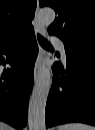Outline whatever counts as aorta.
<instances>
[{"instance_id":"obj_1","label":"aorta","mask_w":95,"mask_h":130,"mask_svg":"<svg viewBox=\"0 0 95 130\" xmlns=\"http://www.w3.org/2000/svg\"><path fill=\"white\" fill-rule=\"evenodd\" d=\"M37 18L45 27L50 26L55 19V12L51 8H42L37 13ZM51 87V71L44 68L34 85L28 108L29 130H46L45 108Z\"/></svg>"}]
</instances>
